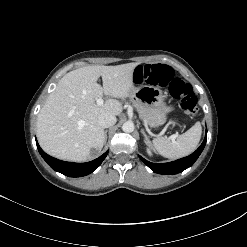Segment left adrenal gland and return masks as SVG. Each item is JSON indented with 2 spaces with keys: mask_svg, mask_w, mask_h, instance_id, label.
<instances>
[{
  "mask_svg": "<svg viewBox=\"0 0 247 247\" xmlns=\"http://www.w3.org/2000/svg\"><path fill=\"white\" fill-rule=\"evenodd\" d=\"M141 133H142L143 136H144L145 142H146V143H149V137L147 136V134L145 133V131H144L143 128L141 129Z\"/></svg>",
  "mask_w": 247,
  "mask_h": 247,
  "instance_id": "a2214340",
  "label": "left adrenal gland"
}]
</instances>
